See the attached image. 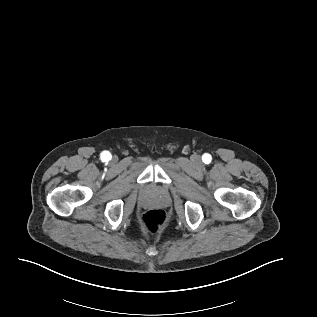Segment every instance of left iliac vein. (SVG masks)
I'll return each instance as SVG.
<instances>
[{
	"label": "left iliac vein",
	"instance_id": "4c4485c4",
	"mask_svg": "<svg viewBox=\"0 0 317 317\" xmlns=\"http://www.w3.org/2000/svg\"><path fill=\"white\" fill-rule=\"evenodd\" d=\"M195 159L198 160V156H195Z\"/></svg>",
	"mask_w": 317,
	"mask_h": 317
}]
</instances>
